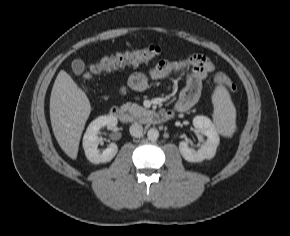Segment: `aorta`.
Returning a JSON list of instances; mask_svg holds the SVG:
<instances>
[{"label":"aorta","mask_w":290,"mask_h":236,"mask_svg":"<svg viewBox=\"0 0 290 236\" xmlns=\"http://www.w3.org/2000/svg\"><path fill=\"white\" fill-rule=\"evenodd\" d=\"M147 137L151 141H156L159 137V131L155 128H151L147 132Z\"/></svg>","instance_id":"762f6f07"}]
</instances>
